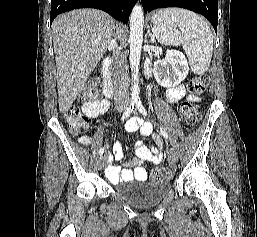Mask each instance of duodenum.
<instances>
[{
  "instance_id": "410a0bca",
  "label": "duodenum",
  "mask_w": 257,
  "mask_h": 237,
  "mask_svg": "<svg viewBox=\"0 0 257 237\" xmlns=\"http://www.w3.org/2000/svg\"><path fill=\"white\" fill-rule=\"evenodd\" d=\"M111 63H112L111 58H106L101 67V76L103 79L104 94L107 97H111L112 95V74L110 71Z\"/></svg>"
}]
</instances>
